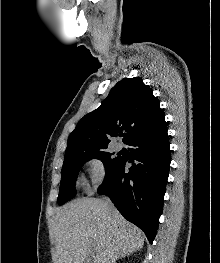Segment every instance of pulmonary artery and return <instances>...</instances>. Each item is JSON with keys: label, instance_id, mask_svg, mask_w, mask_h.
<instances>
[{"label": "pulmonary artery", "instance_id": "1", "mask_svg": "<svg viewBox=\"0 0 220 263\" xmlns=\"http://www.w3.org/2000/svg\"><path fill=\"white\" fill-rule=\"evenodd\" d=\"M115 148L117 151L122 150V144L120 142L116 143Z\"/></svg>", "mask_w": 220, "mask_h": 263}]
</instances>
